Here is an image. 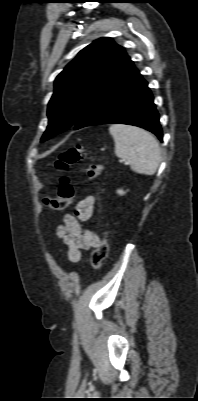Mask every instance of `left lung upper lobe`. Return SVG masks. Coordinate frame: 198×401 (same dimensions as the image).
I'll return each instance as SVG.
<instances>
[{"instance_id": "left-lung-upper-lobe-1", "label": "left lung upper lobe", "mask_w": 198, "mask_h": 401, "mask_svg": "<svg viewBox=\"0 0 198 401\" xmlns=\"http://www.w3.org/2000/svg\"><path fill=\"white\" fill-rule=\"evenodd\" d=\"M128 58L125 50L107 37L81 50L56 77L48 104V127L41 142L74 126Z\"/></svg>"}]
</instances>
